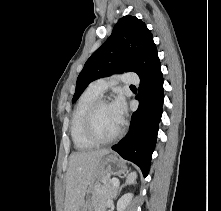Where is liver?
<instances>
[{"instance_id":"1","label":"liver","mask_w":221,"mask_h":211,"mask_svg":"<svg viewBox=\"0 0 221 211\" xmlns=\"http://www.w3.org/2000/svg\"><path fill=\"white\" fill-rule=\"evenodd\" d=\"M109 150L74 152L70 155L66 173V195L64 211H80L88 185L95 175L100 159Z\"/></svg>"}]
</instances>
